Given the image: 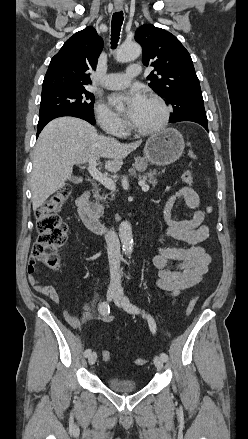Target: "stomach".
Here are the masks:
<instances>
[{
    "label": "stomach",
    "instance_id": "1",
    "mask_svg": "<svg viewBox=\"0 0 248 439\" xmlns=\"http://www.w3.org/2000/svg\"><path fill=\"white\" fill-rule=\"evenodd\" d=\"M185 143L182 134L173 128L152 135L144 147V160L164 166L177 161L183 154Z\"/></svg>",
    "mask_w": 248,
    "mask_h": 439
}]
</instances>
